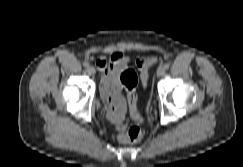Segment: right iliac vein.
Returning a JSON list of instances; mask_svg holds the SVG:
<instances>
[{
  "label": "right iliac vein",
  "instance_id": "right-iliac-vein-1",
  "mask_svg": "<svg viewBox=\"0 0 243 167\" xmlns=\"http://www.w3.org/2000/svg\"><path fill=\"white\" fill-rule=\"evenodd\" d=\"M87 71L90 75H94L96 73L95 68L93 66H89Z\"/></svg>",
  "mask_w": 243,
  "mask_h": 167
}]
</instances>
